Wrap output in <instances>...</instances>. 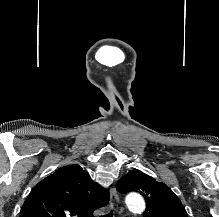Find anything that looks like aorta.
Listing matches in <instances>:
<instances>
[{"label":"aorta","instance_id":"aorta-1","mask_svg":"<svg viewBox=\"0 0 219 217\" xmlns=\"http://www.w3.org/2000/svg\"><path fill=\"white\" fill-rule=\"evenodd\" d=\"M126 204L131 211L141 212L145 209V201L140 195H130L126 198Z\"/></svg>","mask_w":219,"mask_h":217}]
</instances>
